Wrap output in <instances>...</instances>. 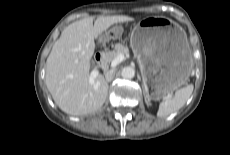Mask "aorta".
I'll use <instances>...</instances> for the list:
<instances>
[{"label":"aorta","mask_w":230,"mask_h":155,"mask_svg":"<svg viewBox=\"0 0 230 155\" xmlns=\"http://www.w3.org/2000/svg\"><path fill=\"white\" fill-rule=\"evenodd\" d=\"M121 76L125 79H132L135 76V69L131 66H126L122 69Z\"/></svg>","instance_id":"762f6f07"}]
</instances>
